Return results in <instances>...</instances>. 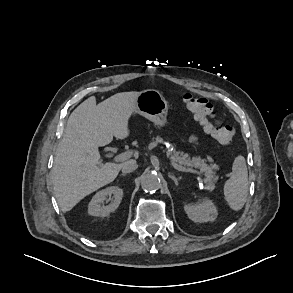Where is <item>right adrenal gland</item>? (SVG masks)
Masks as SVG:
<instances>
[{
	"mask_svg": "<svg viewBox=\"0 0 293 293\" xmlns=\"http://www.w3.org/2000/svg\"><path fill=\"white\" fill-rule=\"evenodd\" d=\"M120 176H125V174H121Z\"/></svg>",
	"mask_w": 293,
	"mask_h": 293,
	"instance_id": "2a0ac1e0",
	"label": "right adrenal gland"
}]
</instances>
